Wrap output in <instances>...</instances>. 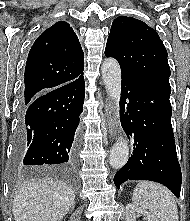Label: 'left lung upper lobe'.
Segmentation results:
<instances>
[{"mask_svg": "<svg viewBox=\"0 0 190 221\" xmlns=\"http://www.w3.org/2000/svg\"><path fill=\"white\" fill-rule=\"evenodd\" d=\"M105 55L119 62L122 77L171 90L166 48L156 31L143 21L117 17L111 27Z\"/></svg>", "mask_w": 190, "mask_h": 221, "instance_id": "1", "label": "left lung upper lobe"}]
</instances>
